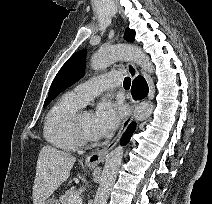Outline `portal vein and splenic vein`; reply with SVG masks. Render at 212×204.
Segmentation results:
<instances>
[{
    "mask_svg": "<svg viewBox=\"0 0 212 204\" xmlns=\"http://www.w3.org/2000/svg\"><path fill=\"white\" fill-rule=\"evenodd\" d=\"M68 204H82V199H81V197L79 195L78 196H74V197H72L69 200Z\"/></svg>",
    "mask_w": 212,
    "mask_h": 204,
    "instance_id": "1",
    "label": "portal vein and splenic vein"
}]
</instances>
